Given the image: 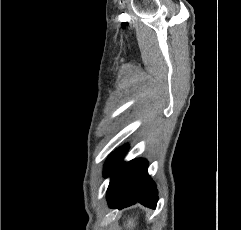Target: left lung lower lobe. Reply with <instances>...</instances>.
<instances>
[{
  "instance_id": "0a47b994",
  "label": "left lung lower lobe",
  "mask_w": 241,
  "mask_h": 230,
  "mask_svg": "<svg viewBox=\"0 0 241 230\" xmlns=\"http://www.w3.org/2000/svg\"><path fill=\"white\" fill-rule=\"evenodd\" d=\"M120 148L109 156L105 163V176H111L107 199L111 208H124L140 202L156 208L157 189L147 174V161L135 159L128 163L121 162L123 151Z\"/></svg>"
}]
</instances>
